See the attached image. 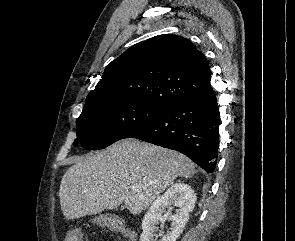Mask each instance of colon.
Returning a JSON list of instances; mask_svg holds the SVG:
<instances>
[{"mask_svg": "<svg viewBox=\"0 0 295 241\" xmlns=\"http://www.w3.org/2000/svg\"><path fill=\"white\" fill-rule=\"evenodd\" d=\"M97 224L101 226H108L115 233L132 239L128 227L118 217L107 216L106 218L99 219L97 221ZM81 240H82V231L80 229L71 230L68 233V236L66 238V241H81Z\"/></svg>", "mask_w": 295, "mask_h": 241, "instance_id": "obj_1", "label": "colon"}]
</instances>
